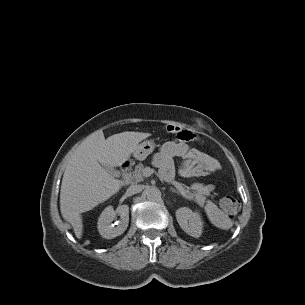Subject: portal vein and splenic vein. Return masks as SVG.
Here are the masks:
<instances>
[{
  "instance_id": "18ae733b",
  "label": "portal vein and splenic vein",
  "mask_w": 305,
  "mask_h": 305,
  "mask_svg": "<svg viewBox=\"0 0 305 305\" xmlns=\"http://www.w3.org/2000/svg\"><path fill=\"white\" fill-rule=\"evenodd\" d=\"M153 173V169L147 167L144 169L142 176L143 177H149Z\"/></svg>"
}]
</instances>
